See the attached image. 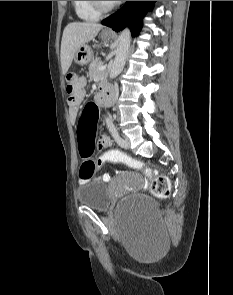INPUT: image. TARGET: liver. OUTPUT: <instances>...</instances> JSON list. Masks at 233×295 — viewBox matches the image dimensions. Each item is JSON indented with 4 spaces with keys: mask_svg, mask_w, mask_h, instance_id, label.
<instances>
[{
    "mask_svg": "<svg viewBox=\"0 0 233 295\" xmlns=\"http://www.w3.org/2000/svg\"><path fill=\"white\" fill-rule=\"evenodd\" d=\"M102 28L101 24L92 22H72L65 27L61 41V67L64 75L78 48L94 39Z\"/></svg>",
    "mask_w": 233,
    "mask_h": 295,
    "instance_id": "liver-1",
    "label": "liver"
}]
</instances>
